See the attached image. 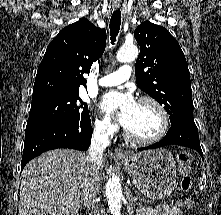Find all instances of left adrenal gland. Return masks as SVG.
<instances>
[{
	"mask_svg": "<svg viewBox=\"0 0 221 215\" xmlns=\"http://www.w3.org/2000/svg\"><path fill=\"white\" fill-rule=\"evenodd\" d=\"M127 194H128V198L131 199V202H133V198H132V196L130 195L129 189L127 190Z\"/></svg>",
	"mask_w": 221,
	"mask_h": 215,
	"instance_id": "obj_1",
	"label": "left adrenal gland"
}]
</instances>
